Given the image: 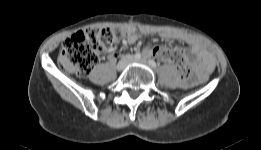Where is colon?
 <instances>
[{
	"label": "colon",
	"instance_id": "5ec220e1",
	"mask_svg": "<svg viewBox=\"0 0 261 150\" xmlns=\"http://www.w3.org/2000/svg\"><path fill=\"white\" fill-rule=\"evenodd\" d=\"M129 33L119 28H87L69 36L62 44L58 64L70 73L87 76L97 65L99 55L116 47L120 39ZM153 55L173 62L182 76L190 72L189 62L182 51L174 46L153 49Z\"/></svg>",
	"mask_w": 261,
	"mask_h": 150
}]
</instances>
